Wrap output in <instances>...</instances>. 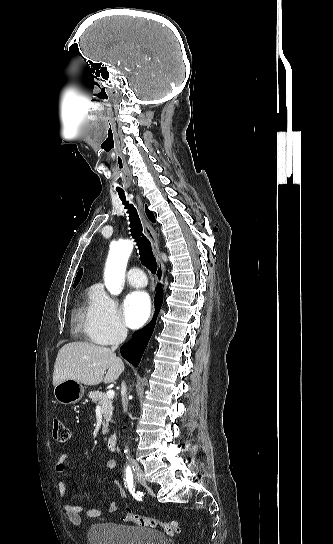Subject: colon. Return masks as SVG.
<instances>
[{
  "label": "colon",
  "mask_w": 333,
  "mask_h": 544,
  "mask_svg": "<svg viewBox=\"0 0 333 544\" xmlns=\"http://www.w3.org/2000/svg\"><path fill=\"white\" fill-rule=\"evenodd\" d=\"M53 437L59 443H65L70 439L69 428L59 419L53 420ZM122 519L141 527L160 528L167 535H174L180 531V526L176 521H159L151 517L138 515L131 511L123 512Z\"/></svg>",
  "instance_id": "1"
}]
</instances>
